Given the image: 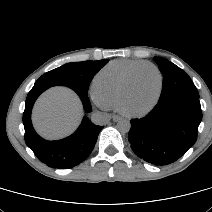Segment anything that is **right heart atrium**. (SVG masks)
<instances>
[{
	"label": "right heart atrium",
	"instance_id": "1",
	"mask_svg": "<svg viewBox=\"0 0 212 212\" xmlns=\"http://www.w3.org/2000/svg\"><path fill=\"white\" fill-rule=\"evenodd\" d=\"M90 98L92 102L101 109H108L110 107L109 103L105 100V98L95 89L92 87L90 92Z\"/></svg>",
	"mask_w": 212,
	"mask_h": 212
}]
</instances>
